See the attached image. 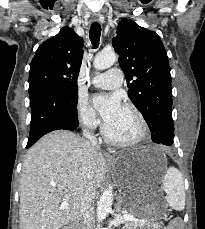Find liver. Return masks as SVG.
Listing matches in <instances>:
<instances>
[{"mask_svg": "<svg viewBox=\"0 0 205 229\" xmlns=\"http://www.w3.org/2000/svg\"><path fill=\"white\" fill-rule=\"evenodd\" d=\"M106 161L97 147L66 130L43 136L27 152L20 180V229H59L78 215L91 183L97 189ZM69 196V198H65Z\"/></svg>", "mask_w": 205, "mask_h": 229, "instance_id": "liver-1", "label": "liver"}]
</instances>
